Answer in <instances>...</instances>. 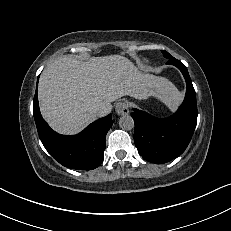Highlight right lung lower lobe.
Masks as SVG:
<instances>
[{
	"label": "right lung lower lobe",
	"instance_id": "98d812e1",
	"mask_svg": "<svg viewBox=\"0 0 231 231\" xmlns=\"http://www.w3.org/2000/svg\"><path fill=\"white\" fill-rule=\"evenodd\" d=\"M33 114L40 140L57 162L77 170H92L101 164L106 134L113 124L111 114L91 123L77 135H61L53 131L42 118L37 90L33 101Z\"/></svg>",
	"mask_w": 231,
	"mask_h": 231
}]
</instances>
